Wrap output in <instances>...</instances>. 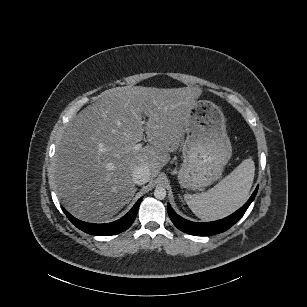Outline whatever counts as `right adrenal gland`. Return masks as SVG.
<instances>
[{"label":"right adrenal gland","instance_id":"1","mask_svg":"<svg viewBox=\"0 0 307 307\" xmlns=\"http://www.w3.org/2000/svg\"><path fill=\"white\" fill-rule=\"evenodd\" d=\"M137 191V188H135L133 195L129 198V200H132V197L134 196L135 192Z\"/></svg>","mask_w":307,"mask_h":307}]
</instances>
